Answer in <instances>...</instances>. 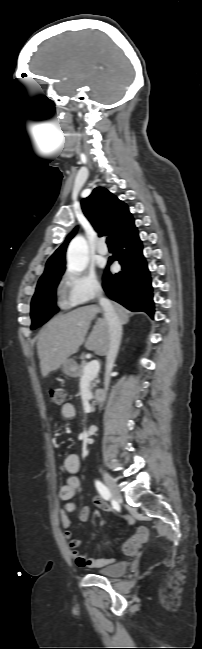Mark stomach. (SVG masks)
<instances>
[{"instance_id":"1","label":"stomach","mask_w":202,"mask_h":649,"mask_svg":"<svg viewBox=\"0 0 202 649\" xmlns=\"http://www.w3.org/2000/svg\"><path fill=\"white\" fill-rule=\"evenodd\" d=\"M77 364L73 359H68L63 364V372L71 377H75L77 373Z\"/></svg>"}]
</instances>
